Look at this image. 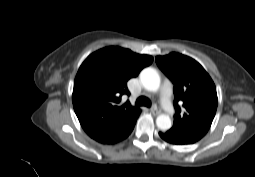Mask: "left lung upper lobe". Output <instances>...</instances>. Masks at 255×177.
<instances>
[{
  "instance_id": "obj_1",
  "label": "left lung upper lobe",
  "mask_w": 255,
  "mask_h": 177,
  "mask_svg": "<svg viewBox=\"0 0 255 177\" xmlns=\"http://www.w3.org/2000/svg\"><path fill=\"white\" fill-rule=\"evenodd\" d=\"M156 63L174 84V116L171 131L193 142L200 140L209 130L217 110L216 87L194 59L170 53L157 56Z\"/></svg>"
}]
</instances>
